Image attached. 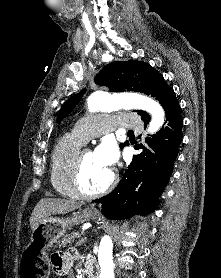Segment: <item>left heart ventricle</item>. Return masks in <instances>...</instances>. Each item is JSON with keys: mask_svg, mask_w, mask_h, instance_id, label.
Returning a JSON list of instances; mask_svg holds the SVG:
<instances>
[{"mask_svg": "<svg viewBox=\"0 0 221 278\" xmlns=\"http://www.w3.org/2000/svg\"><path fill=\"white\" fill-rule=\"evenodd\" d=\"M111 169L103 165L94 155L88 153L82 164L81 182L83 187L90 192L100 190L109 181Z\"/></svg>", "mask_w": 221, "mask_h": 278, "instance_id": "obj_1", "label": "left heart ventricle"}]
</instances>
